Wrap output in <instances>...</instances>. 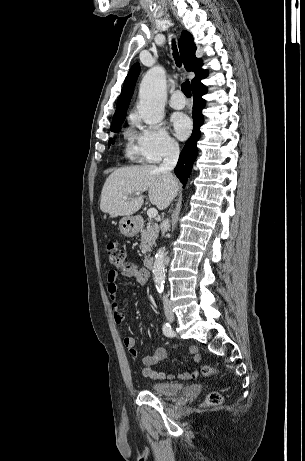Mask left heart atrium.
Returning <instances> with one entry per match:
<instances>
[{"mask_svg": "<svg viewBox=\"0 0 305 461\" xmlns=\"http://www.w3.org/2000/svg\"><path fill=\"white\" fill-rule=\"evenodd\" d=\"M171 122L173 125L174 133L179 139L183 140L189 136L192 124L186 115L182 113H176L172 116Z\"/></svg>", "mask_w": 305, "mask_h": 461, "instance_id": "obj_1", "label": "left heart atrium"}]
</instances>
